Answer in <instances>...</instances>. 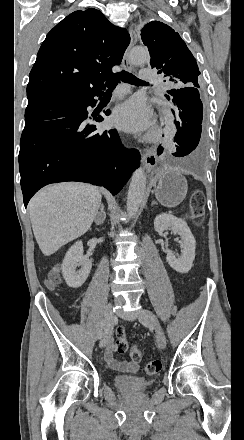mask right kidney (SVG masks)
I'll return each mask as SVG.
<instances>
[{
    "label": "right kidney",
    "mask_w": 244,
    "mask_h": 440,
    "mask_svg": "<svg viewBox=\"0 0 244 440\" xmlns=\"http://www.w3.org/2000/svg\"><path fill=\"white\" fill-rule=\"evenodd\" d=\"M77 266H81L80 270H76ZM92 262L88 256H83L82 242H75L69 248L62 264V276L69 288H80L86 282Z\"/></svg>",
    "instance_id": "1"
}]
</instances>
